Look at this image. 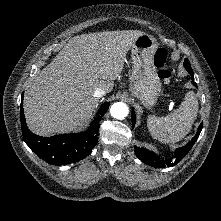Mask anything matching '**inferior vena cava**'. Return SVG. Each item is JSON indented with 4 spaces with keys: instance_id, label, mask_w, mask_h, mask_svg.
Masks as SVG:
<instances>
[{
    "instance_id": "1",
    "label": "inferior vena cava",
    "mask_w": 221,
    "mask_h": 221,
    "mask_svg": "<svg viewBox=\"0 0 221 221\" xmlns=\"http://www.w3.org/2000/svg\"><path fill=\"white\" fill-rule=\"evenodd\" d=\"M106 94L105 90L102 88H97L94 92V97L100 98Z\"/></svg>"
}]
</instances>
